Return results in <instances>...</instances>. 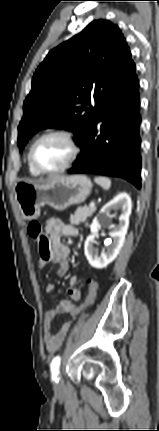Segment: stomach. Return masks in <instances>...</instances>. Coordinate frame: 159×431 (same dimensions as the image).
<instances>
[{"mask_svg": "<svg viewBox=\"0 0 159 431\" xmlns=\"http://www.w3.org/2000/svg\"><path fill=\"white\" fill-rule=\"evenodd\" d=\"M92 189L89 178L83 175L55 177L46 184L21 181L15 185V200L26 220L36 219L41 207L49 205L64 210L86 200Z\"/></svg>", "mask_w": 159, "mask_h": 431, "instance_id": "1", "label": "stomach"}]
</instances>
